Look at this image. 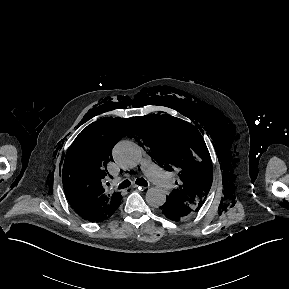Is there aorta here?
Instances as JSON below:
<instances>
[{"mask_svg":"<svg viewBox=\"0 0 289 289\" xmlns=\"http://www.w3.org/2000/svg\"><path fill=\"white\" fill-rule=\"evenodd\" d=\"M140 147L132 142L123 140L118 142L113 149L115 161L123 168H134L141 160ZM166 201L165 192L157 187H152L146 192V202L151 207L158 208Z\"/></svg>","mask_w":289,"mask_h":289,"instance_id":"762f6f07","label":"aorta"}]
</instances>
